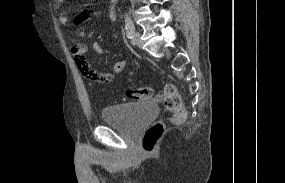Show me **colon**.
<instances>
[{"mask_svg": "<svg viewBox=\"0 0 285 183\" xmlns=\"http://www.w3.org/2000/svg\"><path fill=\"white\" fill-rule=\"evenodd\" d=\"M78 67L85 76L89 75L86 65L78 64ZM128 97L133 100H150L154 97V92L149 87H139L130 89ZM161 98L165 108L172 113L171 122L173 124H182L187 118V111L182 105L177 88L173 84H167L164 87ZM164 130L165 125L162 122H156L146 130L141 141L142 147L146 152L155 150Z\"/></svg>", "mask_w": 285, "mask_h": 183, "instance_id": "colon-1", "label": "colon"}]
</instances>
